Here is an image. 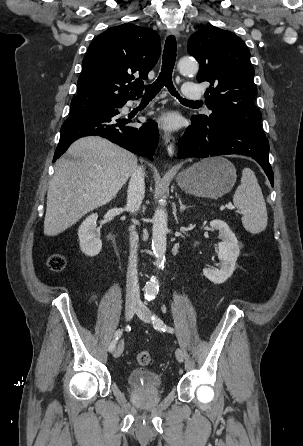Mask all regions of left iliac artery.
<instances>
[{
	"label": "left iliac artery",
	"instance_id": "44dca946",
	"mask_svg": "<svg viewBox=\"0 0 303 446\" xmlns=\"http://www.w3.org/2000/svg\"><path fill=\"white\" fill-rule=\"evenodd\" d=\"M152 323H153L154 328L157 329V330H161V331H164V332L167 331L169 333H174V329L169 327V326H167V325H165L163 323V321L156 315L152 316Z\"/></svg>",
	"mask_w": 303,
	"mask_h": 446
}]
</instances>
